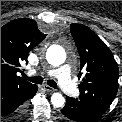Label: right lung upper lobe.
<instances>
[{
    "mask_svg": "<svg viewBox=\"0 0 122 122\" xmlns=\"http://www.w3.org/2000/svg\"><path fill=\"white\" fill-rule=\"evenodd\" d=\"M34 20L20 18L1 27V89H26L33 84L17 76L31 49L44 40Z\"/></svg>",
    "mask_w": 122,
    "mask_h": 122,
    "instance_id": "obj_1",
    "label": "right lung upper lobe"
}]
</instances>
